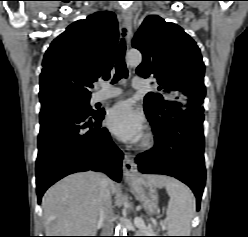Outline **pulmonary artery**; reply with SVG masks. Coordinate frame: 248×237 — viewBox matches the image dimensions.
Returning <instances> with one entry per match:
<instances>
[{"mask_svg": "<svg viewBox=\"0 0 248 237\" xmlns=\"http://www.w3.org/2000/svg\"><path fill=\"white\" fill-rule=\"evenodd\" d=\"M133 87L135 89H141L145 87V81L143 78L140 77H135L133 78ZM121 90L120 89H113L110 91H99L97 92L94 97H93V101L94 102H102L114 97H118L121 95Z\"/></svg>", "mask_w": 248, "mask_h": 237, "instance_id": "obj_1", "label": "pulmonary artery"}]
</instances>
